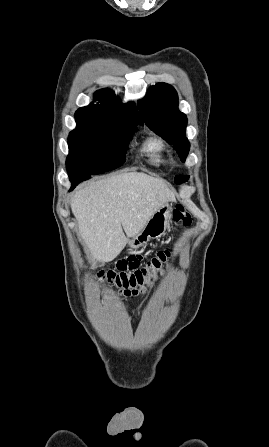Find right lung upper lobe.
I'll return each instance as SVG.
<instances>
[{
    "instance_id": "cb5924a9",
    "label": "right lung upper lobe",
    "mask_w": 269,
    "mask_h": 447,
    "mask_svg": "<svg viewBox=\"0 0 269 447\" xmlns=\"http://www.w3.org/2000/svg\"><path fill=\"white\" fill-rule=\"evenodd\" d=\"M100 103H91L79 108L75 113L76 120L94 121L106 124H143L134 103L122 104L110 89H101L95 93Z\"/></svg>"
}]
</instances>
